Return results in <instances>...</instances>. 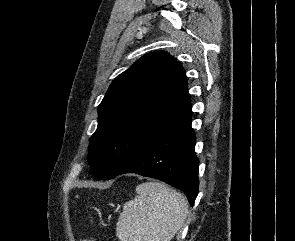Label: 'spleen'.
I'll return each mask as SVG.
<instances>
[{"label":"spleen","instance_id":"spleen-1","mask_svg":"<svg viewBox=\"0 0 295 241\" xmlns=\"http://www.w3.org/2000/svg\"><path fill=\"white\" fill-rule=\"evenodd\" d=\"M126 202L116 234L120 241H170L182 227L188 206L184 196L160 182H144Z\"/></svg>","mask_w":295,"mask_h":241}]
</instances>
